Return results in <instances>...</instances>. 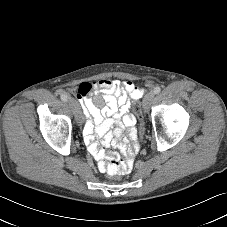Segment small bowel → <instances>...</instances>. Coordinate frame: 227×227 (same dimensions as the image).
<instances>
[{"label":"small bowel","mask_w":227,"mask_h":227,"mask_svg":"<svg viewBox=\"0 0 227 227\" xmlns=\"http://www.w3.org/2000/svg\"><path fill=\"white\" fill-rule=\"evenodd\" d=\"M76 95L87 117L83 129L84 141L91 155L98 161L100 170L105 171L100 161L110 147L119 148L132 160L138 145H130L128 139L122 137L127 131L129 139H138L134 127L136 118L130 112V106L132 101L143 96V90L130 80L101 79L82 83ZM113 154L118 160V155Z\"/></svg>","instance_id":"obj_1"}]
</instances>
